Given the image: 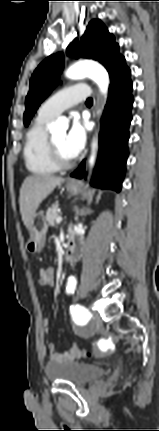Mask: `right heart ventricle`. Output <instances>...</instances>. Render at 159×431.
Returning <instances> with one entry per match:
<instances>
[{
    "mask_svg": "<svg viewBox=\"0 0 159 431\" xmlns=\"http://www.w3.org/2000/svg\"><path fill=\"white\" fill-rule=\"evenodd\" d=\"M51 119L39 113L26 133L23 158L28 171L35 175H50L59 170L49 154L46 124Z\"/></svg>",
    "mask_w": 159,
    "mask_h": 431,
    "instance_id": "e07e8e85",
    "label": "right heart ventricle"
}]
</instances>
